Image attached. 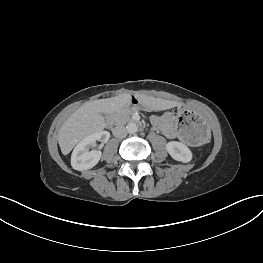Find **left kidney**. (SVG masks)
<instances>
[{
	"mask_svg": "<svg viewBox=\"0 0 263 263\" xmlns=\"http://www.w3.org/2000/svg\"><path fill=\"white\" fill-rule=\"evenodd\" d=\"M166 149L170 156L176 161L187 163L192 160V152L181 142L170 141L166 144Z\"/></svg>",
	"mask_w": 263,
	"mask_h": 263,
	"instance_id": "left-kidney-1",
	"label": "left kidney"
}]
</instances>
